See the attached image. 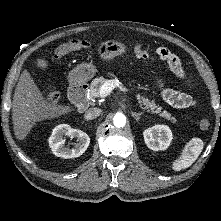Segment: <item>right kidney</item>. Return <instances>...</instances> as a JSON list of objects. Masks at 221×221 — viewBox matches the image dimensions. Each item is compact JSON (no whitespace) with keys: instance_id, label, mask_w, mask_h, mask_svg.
I'll use <instances>...</instances> for the list:
<instances>
[{"instance_id":"obj_1","label":"right kidney","mask_w":221,"mask_h":221,"mask_svg":"<svg viewBox=\"0 0 221 221\" xmlns=\"http://www.w3.org/2000/svg\"><path fill=\"white\" fill-rule=\"evenodd\" d=\"M64 136L77 139L74 148L70 149L65 146ZM89 144L90 138L85 132L73 129L67 124L56 126L49 137V146L53 154L65 159L79 157L86 151Z\"/></svg>"}]
</instances>
